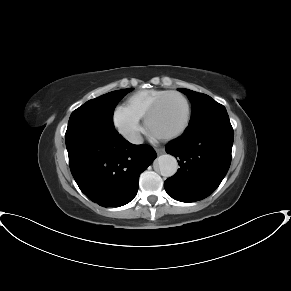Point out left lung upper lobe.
<instances>
[{
	"label": "left lung upper lobe",
	"mask_w": 291,
	"mask_h": 291,
	"mask_svg": "<svg viewBox=\"0 0 291 291\" xmlns=\"http://www.w3.org/2000/svg\"><path fill=\"white\" fill-rule=\"evenodd\" d=\"M178 90L187 95L192 105V116L187 128L197 126L216 115L227 112L223 105L208 95L185 88H179Z\"/></svg>",
	"instance_id": "obj_1"
}]
</instances>
